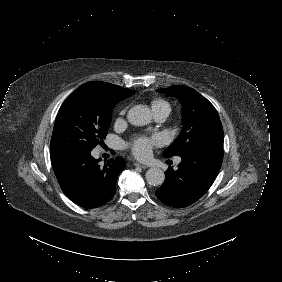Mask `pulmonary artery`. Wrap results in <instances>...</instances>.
<instances>
[{
    "label": "pulmonary artery",
    "instance_id": "1",
    "mask_svg": "<svg viewBox=\"0 0 282 282\" xmlns=\"http://www.w3.org/2000/svg\"><path fill=\"white\" fill-rule=\"evenodd\" d=\"M169 113H170V109L167 108V109H164L161 112L155 113L154 115H155V118H156L157 121H164L168 117ZM179 161H180V159H178L177 162H179Z\"/></svg>",
    "mask_w": 282,
    "mask_h": 282
}]
</instances>
